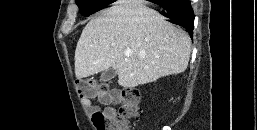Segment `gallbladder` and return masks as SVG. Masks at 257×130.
<instances>
[{
	"mask_svg": "<svg viewBox=\"0 0 257 130\" xmlns=\"http://www.w3.org/2000/svg\"><path fill=\"white\" fill-rule=\"evenodd\" d=\"M116 75H117L116 70H114L113 68H109L101 74L100 81L108 82L112 80Z\"/></svg>",
	"mask_w": 257,
	"mask_h": 130,
	"instance_id": "1",
	"label": "gallbladder"
}]
</instances>
